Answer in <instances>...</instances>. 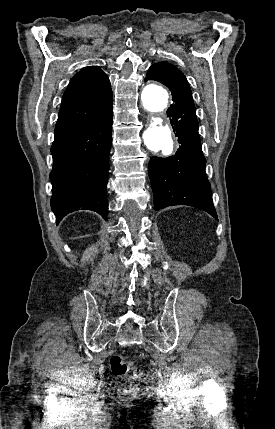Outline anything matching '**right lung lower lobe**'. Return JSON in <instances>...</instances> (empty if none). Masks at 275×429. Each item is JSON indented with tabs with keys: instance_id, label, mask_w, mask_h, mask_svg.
I'll return each mask as SVG.
<instances>
[{
	"instance_id": "right-lung-lower-lobe-1",
	"label": "right lung lower lobe",
	"mask_w": 275,
	"mask_h": 429,
	"mask_svg": "<svg viewBox=\"0 0 275 429\" xmlns=\"http://www.w3.org/2000/svg\"><path fill=\"white\" fill-rule=\"evenodd\" d=\"M112 112L104 118L56 131L51 147V207L57 223L81 208L108 214L106 185L112 142Z\"/></svg>"
}]
</instances>
